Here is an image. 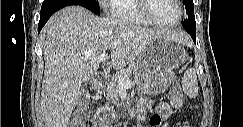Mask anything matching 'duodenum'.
<instances>
[{
	"mask_svg": "<svg viewBox=\"0 0 243 127\" xmlns=\"http://www.w3.org/2000/svg\"><path fill=\"white\" fill-rule=\"evenodd\" d=\"M109 81V78L106 74L104 73H98L93 80V87L95 89H103L104 87L107 86ZM105 120L100 119L97 124L98 126L105 127L106 125L104 124Z\"/></svg>",
	"mask_w": 243,
	"mask_h": 127,
	"instance_id": "obj_1",
	"label": "duodenum"
}]
</instances>
